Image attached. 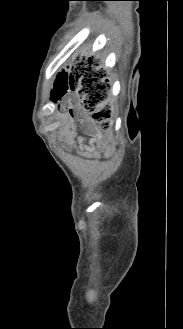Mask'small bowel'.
<instances>
[{
  "instance_id": "1",
  "label": "small bowel",
  "mask_w": 183,
  "mask_h": 329,
  "mask_svg": "<svg viewBox=\"0 0 183 329\" xmlns=\"http://www.w3.org/2000/svg\"><path fill=\"white\" fill-rule=\"evenodd\" d=\"M79 119L83 123L87 132L90 133V139L79 138L77 140L78 146L81 151L89 153L94 157H99L102 153V145L100 141V135L97 128L91 123V121L84 115H79ZM65 135L69 141H72L76 137V130L74 121L69 119L65 122Z\"/></svg>"
}]
</instances>
